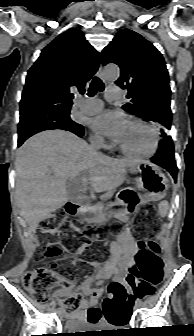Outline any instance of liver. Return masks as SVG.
Here are the masks:
<instances>
[{
    "mask_svg": "<svg viewBox=\"0 0 194 336\" xmlns=\"http://www.w3.org/2000/svg\"><path fill=\"white\" fill-rule=\"evenodd\" d=\"M139 162L108 157L63 130L32 136L20 147L15 164L17 203L29 232L34 233L42 220L68 202L67 183L81 172H89L93 191L111 192Z\"/></svg>",
    "mask_w": 194,
    "mask_h": 336,
    "instance_id": "obj_1",
    "label": "liver"
}]
</instances>
